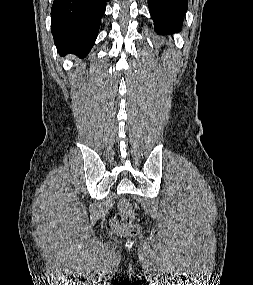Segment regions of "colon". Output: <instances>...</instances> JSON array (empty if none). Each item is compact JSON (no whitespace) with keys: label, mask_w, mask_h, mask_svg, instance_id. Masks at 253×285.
<instances>
[{"label":"colon","mask_w":253,"mask_h":285,"mask_svg":"<svg viewBox=\"0 0 253 285\" xmlns=\"http://www.w3.org/2000/svg\"><path fill=\"white\" fill-rule=\"evenodd\" d=\"M134 211L127 199H121L118 204V212L111 222L112 229L121 235H136L139 228L134 224Z\"/></svg>","instance_id":"colon-1"}]
</instances>
